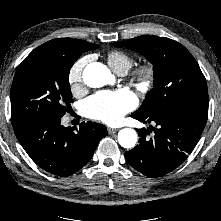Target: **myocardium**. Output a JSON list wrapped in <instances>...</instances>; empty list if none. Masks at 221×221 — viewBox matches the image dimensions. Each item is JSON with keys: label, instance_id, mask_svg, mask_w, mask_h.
<instances>
[{"label": "myocardium", "instance_id": "1", "mask_svg": "<svg viewBox=\"0 0 221 221\" xmlns=\"http://www.w3.org/2000/svg\"><path fill=\"white\" fill-rule=\"evenodd\" d=\"M135 82L143 87L149 88L155 79V67L153 63L147 61L140 64L133 72Z\"/></svg>", "mask_w": 221, "mask_h": 221}]
</instances>
